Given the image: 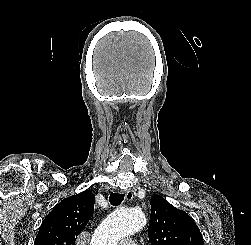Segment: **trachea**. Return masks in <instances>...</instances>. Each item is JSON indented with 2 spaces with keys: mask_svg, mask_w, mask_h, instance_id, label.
Returning <instances> with one entry per match:
<instances>
[{
  "mask_svg": "<svg viewBox=\"0 0 251 245\" xmlns=\"http://www.w3.org/2000/svg\"><path fill=\"white\" fill-rule=\"evenodd\" d=\"M124 199V194L119 193H111L109 197V201L111 205L118 206Z\"/></svg>",
  "mask_w": 251,
  "mask_h": 245,
  "instance_id": "obj_1",
  "label": "trachea"
}]
</instances>
